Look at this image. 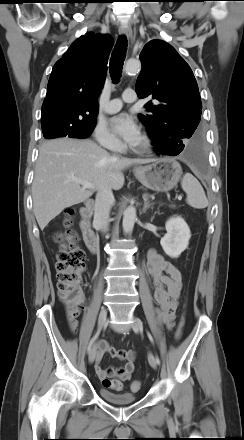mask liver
<instances>
[{
  "mask_svg": "<svg viewBox=\"0 0 244 440\" xmlns=\"http://www.w3.org/2000/svg\"><path fill=\"white\" fill-rule=\"evenodd\" d=\"M153 161L111 156L88 139L60 138L44 142L39 149L32 183L33 211L40 229L65 208L86 201L102 185L121 189L122 170ZM73 179L87 181L94 187L84 188Z\"/></svg>",
  "mask_w": 244,
  "mask_h": 440,
  "instance_id": "obj_1",
  "label": "liver"
}]
</instances>
